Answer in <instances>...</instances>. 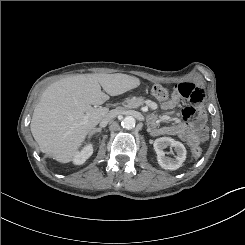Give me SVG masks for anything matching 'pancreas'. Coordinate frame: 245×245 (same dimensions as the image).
Returning a JSON list of instances; mask_svg holds the SVG:
<instances>
[{
  "label": "pancreas",
  "instance_id": "1",
  "mask_svg": "<svg viewBox=\"0 0 245 245\" xmlns=\"http://www.w3.org/2000/svg\"><path fill=\"white\" fill-rule=\"evenodd\" d=\"M145 103V99L142 97H133L131 99H126L124 102L121 103V105L124 108H137Z\"/></svg>",
  "mask_w": 245,
  "mask_h": 245
}]
</instances>
